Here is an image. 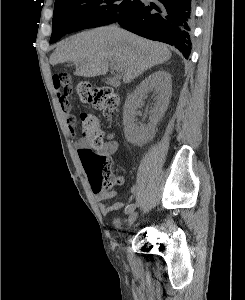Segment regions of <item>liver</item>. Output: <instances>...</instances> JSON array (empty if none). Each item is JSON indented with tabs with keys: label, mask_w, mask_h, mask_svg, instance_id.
Here are the masks:
<instances>
[{
	"label": "liver",
	"mask_w": 245,
	"mask_h": 300,
	"mask_svg": "<svg viewBox=\"0 0 245 300\" xmlns=\"http://www.w3.org/2000/svg\"><path fill=\"white\" fill-rule=\"evenodd\" d=\"M171 52L162 43L150 41L117 26L99 27L69 37L61 42L50 57V63L73 62L76 76L105 75L110 63L130 83L151 67L168 61Z\"/></svg>",
	"instance_id": "6515ba94"
}]
</instances>
